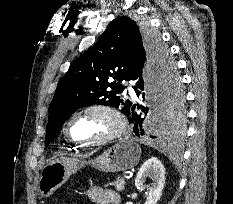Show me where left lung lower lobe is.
I'll list each match as a JSON object with an SVG mask.
<instances>
[{"label":"left lung lower lobe","mask_w":233,"mask_h":204,"mask_svg":"<svg viewBox=\"0 0 233 204\" xmlns=\"http://www.w3.org/2000/svg\"><path fill=\"white\" fill-rule=\"evenodd\" d=\"M145 66V74L143 75L144 57L139 55L129 79L134 81L135 86H133V88L136 91L137 96H142L143 101L145 99V90H147L150 95L154 96L155 108L151 118H146L149 109L143 105L132 104L127 109L125 114L129 116V122L133 125V135L142 137L147 134H152L150 135L151 138H159L160 136L163 137V135L175 130H181L182 128L176 129L174 126L167 125L163 114L161 86L157 75L150 66L146 64ZM136 109H141L142 112L138 113Z\"/></svg>","instance_id":"obj_1"}]
</instances>
